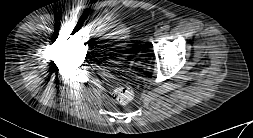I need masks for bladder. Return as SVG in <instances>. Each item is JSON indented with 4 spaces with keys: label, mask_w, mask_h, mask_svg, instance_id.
<instances>
[{
    "label": "bladder",
    "mask_w": 253,
    "mask_h": 138,
    "mask_svg": "<svg viewBox=\"0 0 253 138\" xmlns=\"http://www.w3.org/2000/svg\"><path fill=\"white\" fill-rule=\"evenodd\" d=\"M112 36L117 37L118 39L115 41L116 44H124L127 38V34L125 31H118L116 33L110 34Z\"/></svg>",
    "instance_id": "31cf9c89"
}]
</instances>
